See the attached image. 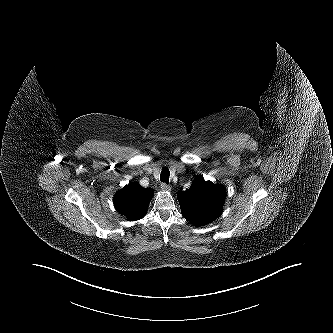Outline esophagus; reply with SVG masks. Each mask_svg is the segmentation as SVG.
I'll return each mask as SVG.
<instances>
[{
	"label": "esophagus",
	"mask_w": 333,
	"mask_h": 333,
	"mask_svg": "<svg viewBox=\"0 0 333 333\" xmlns=\"http://www.w3.org/2000/svg\"><path fill=\"white\" fill-rule=\"evenodd\" d=\"M161 189L163 191H170L171 190V187L170 185L166 184L165 182L161 184Z\"/></svg>",
	"instance_id": "esophagus-1"
}]
</instances>
